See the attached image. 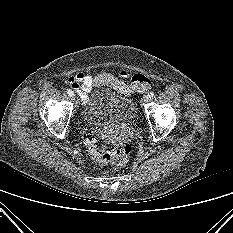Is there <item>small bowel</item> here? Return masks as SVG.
I'll return each instance as SVG.
<instances>
[{"mask_svg": "<svg viewBox=\"0 0 233 233\" xmlns=\"http://www.w3.org/2000/svg\"><path fill=\"white\" fill-rule=\"evenodd\" d=\"M127 72H122V76L126 77ZM68 83L79 94L83 102L88 101V93L92 89V76L84 72H78L68 78Z\"/></svg>", "mask_w": 233, "mask_h": 233, "instance_id": "c3829d8e", "label": "small bowel"}]
</instances>
